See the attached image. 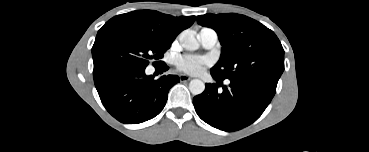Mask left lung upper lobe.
<instances>
[{
    "label": "left lung upper lobe",
    "mask_w": 369,
    "mask_h": 152,
    "mask_svg": "<svg viewBox=\"0 0 369 152\" xmlns=\"http://www.w3.org/2000/svg\"><path fill=\"white\" fill-rule=\"evenodd\" d=\"M197 22L213 28L222 45L211 74L219 79L277 85L284 71V50L273 31L247 16L205 14Z\"/></svg>",
    "instance_id": "5c2ea615"
}]
</instances>
